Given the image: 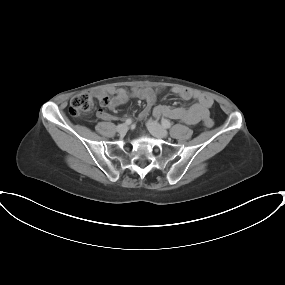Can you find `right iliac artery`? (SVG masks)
I'll use <instances>...</instances> for the list:
<instances>
[{
  "mask_svg": "<svg viewBox=\"0 0 285 285\" xmlns=\"http://www.w3.org/2000/svg\"><path fill=\"white\" fill-rule=\"evenodd\" d=\"M131 123H132V120L130 118L125 120V124L129 125Z\"/></svg>",
  "mask_w": 285,
  "mask_h": 285,
  "instance_id": "1",
  "label": "right iliac artery"
}]
</instances>
